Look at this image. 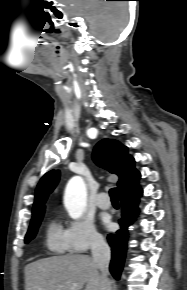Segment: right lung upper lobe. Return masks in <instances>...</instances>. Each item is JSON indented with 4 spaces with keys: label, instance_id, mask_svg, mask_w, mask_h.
<instances>
[{
    "label": "right lung upper lobe",
    "instance_id": "right-lung-upper-lobe-1",
    "mask_svg": "<svg viewBox=\"0 0 187 290\" xmlns=\"http://www.w3.org/2000/svg\"><path fill=\"white\" fill-rule=\"evenodd\" d=\"M93 160L100 167L119 176L117 186L120 198L135 197L141 193L138 188L140 172L135 169V160L128 154L126 146L114 139H103L94 148ZM58 180V170H52L41 178L36 189L32 220L44 214V203Z\"/></svg>",
    "mask_w": 187,
    "mask_h": 290
}]
</instances>
